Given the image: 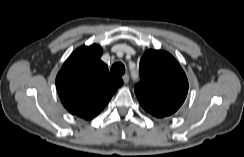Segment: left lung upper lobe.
<instances>
[{"instance_id": "left-lung-upper-lobe-1", "label": "left lung upper lobe", "mask_w": 244, "mask_h": 157, "mask_svg": "<svg viewBox=\"0 0 244 157\" xmlns=\"http://www.w3.org/2000/svg\"><path fill=\"white\" fill-rule=\"evenodd\" d=\"M188 87L183 69L171 54L163 50L144 53L135 93L145 111L158 118L172 115L183 104Z\"/></svg>"}]
</instances>
